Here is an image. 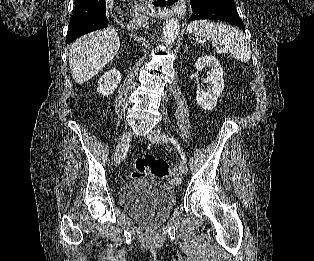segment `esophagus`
<instances>
[{
  "label": "esophagus",
  "instance_id": "1",
  "mask_svg": "<svg viewBox=\"0 0 314 261\" xmlns=\"http://www.w3.org/2000/svg\"><path fill=\"white\" fill-rule=\"evenodd\" d=\"M184 0H178L176 4L167 3L164 4L165 6L163 9H159V12H161L162 15L168 17L174 14H177L178 16H182L185 14V6L183 3Z\"/></svg>",
  "mask_w": 314,
  "mask_h": 261
}]
</instances>
